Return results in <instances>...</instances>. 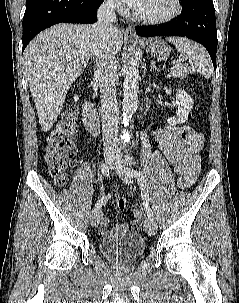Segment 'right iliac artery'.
Listing matches in <instances>:
<instances>
[{"label":"right iliac artery","instance_id":"obj_1","mask_svg":"<svg viewBox=\"0 0 239 303\" xmlns=\"http://www.w3.org/2000/svg\"><path fill=\"white\" fill-rule=\"evenodd\" d=\"M100 169L102 171V173L105 175V177L107 178V181L110 182L111 184L115 183V180L111 178V172L108 169V166L105 163H102L100 166ZM108 196L103 197L102 199H100L94 206L93 208V212H97L100 210V208L102 207V205L107 201Z\"/></svg>","mask_w":239,"mask_h":303}]
</instances>
